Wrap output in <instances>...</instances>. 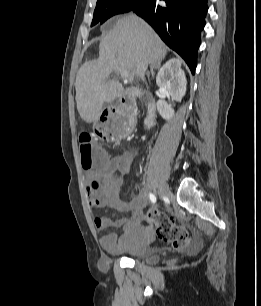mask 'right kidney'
Listing matches in <instances>:
<instances>
[{"label": "right kidney", "mask_w": 261, "mask_h": 306, "mask_svg": "<svg viewBox=\"0 0 261 306\" xmlns=\"http://www.w3.org/2000/svg\"><path fill=\"white\" fill-rule=\"evenodd\" d=\"M156 83L160 88L165 89L168 96L180 102L186 93V76L181 69V62L177 59H170L158 71ZM157 110L161 117L170 120L174 115V109L164 99L157 101Z\"/></svg>", "instance_id": "right-kidney-1"}]
</instances>
